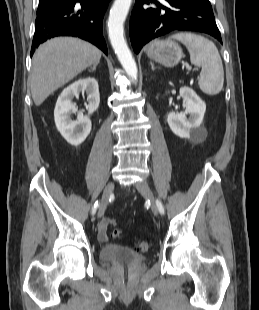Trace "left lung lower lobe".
<instances>
[{
	"label": "left lung lower lobe",
	"mask_w": 259,
	"mask_h": 310,
	"mask_svg": "<svg viewBox=\"0 0 259 310\" xmlns=\"http://www.w3.org/2000/svg\"><path fill=\"white\" fill-rule=\"evenodd\" d=\"M136 0L131 20L130 39L135 53L150 40L174 30L210 34L222 43L209 0ZM153 3V7L143 4Z\"/></svg>",
	"instance_id": "0a47b994"
}]
</instances>
